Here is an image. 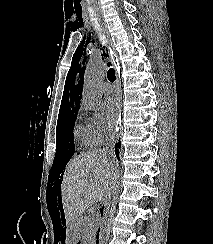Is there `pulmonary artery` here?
Segmentation results:
<instances>
[{"label":"pulmonary artery","mask_w":213,"mask_h":244,"mask_svg":"<svg viewBox=\"0 0 213 244\" xmlns=\"http://www.w3.org/2000/svg\"><path fill=\"white\" fill-rule=\"evenodd\" d=\"M101 90L105 95H109L112 93V85L110 83H103L101 85Z\"/></svg>","instance_id":"obj_1"}]
</instances>
